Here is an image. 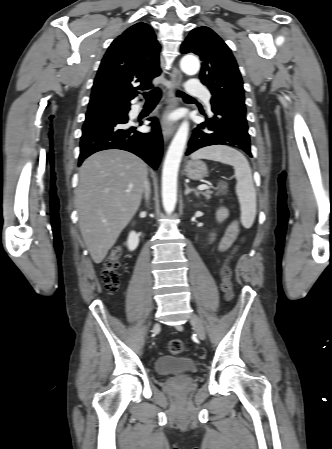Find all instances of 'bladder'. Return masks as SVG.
I'll list each match as a JSON object with an SVG mask.
<instances>
[{"label":"bladder","instance_id":"1","mask_svg":"<svg viewBox=\"0 0 332 449\" xmlns=\"http://www.w3.org/2000/svg\"><path fill=\"white\" fill-rule=\"evenodd\" d=\"M154 369L157 374L166 376L177 373H195L198 371L199 365L193 358L162 355L156 358Z\"/></svg>","mask_w":332,"mask_h":449}]
</instances>
